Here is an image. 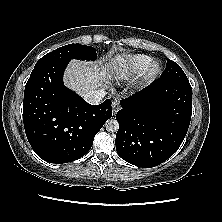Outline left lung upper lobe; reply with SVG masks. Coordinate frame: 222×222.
Wrapping results in <instances>:
<instances>
[{
	"instance_id": "1",
	"label": "left lung upper lobe",
	"mask_w": 222,
	"mask_h": 222,
	"mask_svg": "<svg viewBox=\"0 0 222 222\" xmlns=\"http://www.w3.org/2000/svg\"><path fill=\"white\" fill-rule=\"evenodd\" d=\"M160 79L164 80H183L186 81L187 76L181 69V67L172 60H167L166 68L164 72L161 74Z\"/></svg>"
}]
</instances>
